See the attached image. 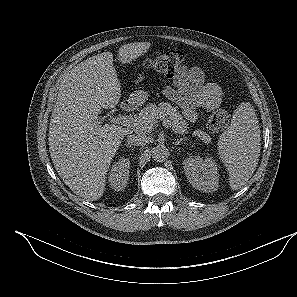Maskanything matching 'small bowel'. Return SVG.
Returning <instances> with one entry per match:
<instances>
[{
	"label": "small bowel",
	"mask_w": 297,
	"mask_h": 297,
	"mask_svg": "<svg viewBox=\"0 0 297 297\" xmlns=\"http://www.w3.org/2000/svg\"><path fill=\"white\" fill-rule=\"evenodd\" d=\"M163 94L181 109L190 123H194L201 112L214 110L224 102L221 87L207 80L199 66L183 67L174 76L172 85L163 89Z\"/></svg>",
	"instance_id": "obj_1"
}]
</instances>
